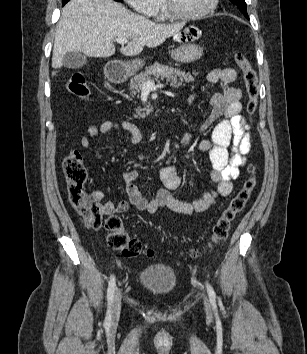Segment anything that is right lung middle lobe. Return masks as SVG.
<instances>
[{
  "instance_id": "1",
  "label": "right lung middle lobe",
  "mask_w": 307,
  "mask_h": 354,
  "mask_svg": "<svg viewBox=\"0 0 307 354\" xmlns=\"http://www.w3.org/2000/svg\"><path fill=\"white\" fill-rule=\"evenodd\" d=\"M115 1L122 2L123 0H115Z\"/></svg>"
}]
</instances>
